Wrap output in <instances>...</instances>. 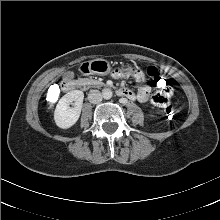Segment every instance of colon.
Masks as SVG:
<instances>
[{"instance_id":"obj_1","label":"colon","mask_w":220,"mask_h":220,"mask_svg":"<svg viewBox=\"0 0 220 220\" xmlns=\"http://www.w3.org/2000/svg\"><path fill=\"white\" fill-rule=\"evenodd\" d=\"M146 84L150 90L158 91L166 86L167 78L166 75L158 70L156 67L151 66L147 69ZM155 103L164 109L165 116L169 121H174L177 118L176 109L171 104L169 99H165L161 96L155 97Z\"/></svg>"}]
</instances>
